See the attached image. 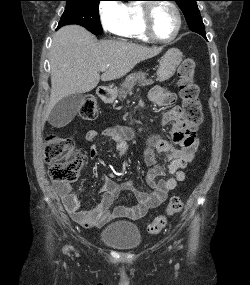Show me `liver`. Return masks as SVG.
<instances>
[{
    "mask_svg": "<svg viewBox=\"0 0 250 285\" xmlns=\"http://www.w3.org/2000/svg\"><path fill=\"white\" fill-rule=\"evenodd\" d=\"M161 50V47H146L126 41L98 42L81 26L62 27L55 33L50 50L51 94L45 119L63 98L93 90L100 81L101 68L106 65L109 67L103 71L101 80L119 79Z\"/></svg>",
    "mask_w": 250,
    "mask_h": 285,
    "instance_id": "obj_1",
    "label": "liver"
}]
</instances>
